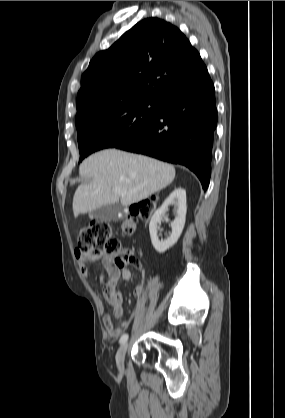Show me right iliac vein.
<instances>
[{
	"instance_id": "63e3f726",
	"label": "right iliac vein",
	"mask_w": 285,
	"mask_h": 418,
	"mask_svg": "<svg viewBox=\"0 0 285 418\" xmlns=\"http://www.w3.org/2000/svg\"><path fill=\"white\" fill-rule=\"evenodd\" d=\"M127 349H128V343H124L123 345H121V347L117 351L116 364L120 370L124 368V358H125Z\"/></svg>"
}]
</instances>
